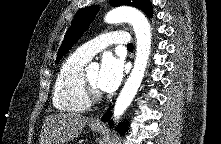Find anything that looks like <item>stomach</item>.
<instances>
[{"mask_svg": "<svg viewBox=\"0 0 221 144\" xmlns=\"http://www.w3.org/2000/svg\"><path fill=\"white\" fill-rule=\"evenodd\" d=\"M89 127L93 132H101L103 128L102 125H93V124H90Z\"/></svg>", "mask_w": 221, "mask_h": 144, "instance_id": "stomach-1", "label": "stomach"}]
</instances>
